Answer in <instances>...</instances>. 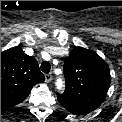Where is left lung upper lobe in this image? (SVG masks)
I'll return each mask as SVG.
<instances>
[{
	"instance_id": "1",
	"label": "left lung upper lobe",
	"mask_w": 122,
	"mask_h": 122,
	"mask_svg": "<svg viewBox=\"0 0 122 122\" xmlns=\"http://www.w3.org/2000/svg\"><path fill=\"white\" fill-rule=\"evenodd\" d=\"M63 70L66 88L63 94L57 93V98L66 110L76 115L88 114L103 103L111 76L108 65L96 52L73 48Z\"/></svg>"
}]
</instances>
